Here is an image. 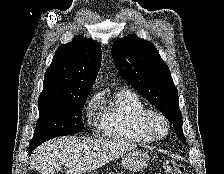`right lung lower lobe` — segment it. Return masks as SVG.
Wrapping results in <instances>:
<instances>
[{"label":"right lung lower lobe","instance_id":"right-lung-lower-lobe-1","mask_svg":"<svg viewBox=\"0 0 224 174\" xmlns=\"http://www.w3.org/2000/svg\"><path fill=\"white\" fill-rule=\"evenodd\" d=\"M35 147H30L29 148V153L31 154L32 150L34 149Z\"/></svg>","mask_w":224,"mask_h":174}]
</instances>
